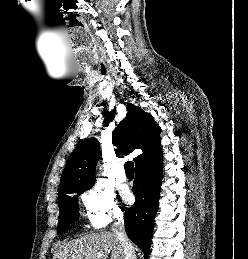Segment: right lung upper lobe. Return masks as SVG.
I'll list each match as a JSON object with an SVG mask.
<instances>
[{"label":"right lung upper lobe","mask_w":248,"mask_h":259,"mask_svg":"<svg viewBox=\"0 0 248 259\" xmlns=\"http://www.w3.org/2000/svg\"><path fill=\"white\" fill-rule=\"evenodd\" d=\"M127 111L125 119L113 132V144L123 152L141 149L142 154L134 158L135 164L145 158L160 154V127L153 117L131 103L127 105ZM99 153V143L95 138L84 140L73 151L61 176L59 197L72 190L94 184V172Z\"/></svg>","instance_id":"right-lung-upper-lobe-1"}]
</instances>
